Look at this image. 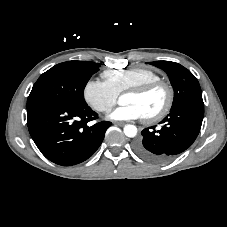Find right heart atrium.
<instances>
[{"mask_svg": "<svg viewBox=\"0 0 227 227\" xmlns=\"http://www.w3.org/2000/svg\"><path fill=\"white\" fill-rule=\"evenodd\" d=\"M87 104L97 112L107 113L116 104L118 94L105 82L92 78L83 89Z\"/></svg>", "mask_w": 227, "mask_h": 227, "instance_id": "d8ad5b80", "label": "right heart atrium"}]
</instances>
